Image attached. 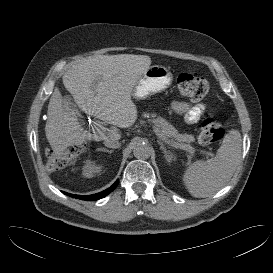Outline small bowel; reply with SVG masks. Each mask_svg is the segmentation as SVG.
<instances>
[{"label":"small bowel","mask_w":273,"mask_h":273,"mask_svg":"<svg viewBox=\"0 0 273 273\" xmlns=\"http://www.w3.org/2000/svg\"><path fill=\"white\" fill-rule=\"evenodd\" d=\"M173 109L177 112L184 113L187 122L194 123L206 111V106L204 104L190 105L184 102H175Z\"/></svg>","instance_id":"c3829d8e"}]
</instances>
